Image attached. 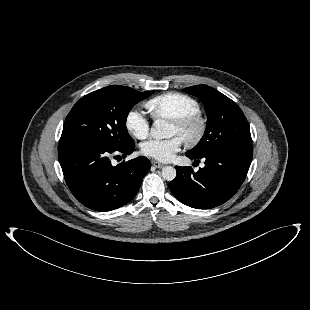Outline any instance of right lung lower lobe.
I'll return each instance as SVG.
<instances>
[{"instance_id":"98d812e1","label":"right lung lower lobe","mask_w":310,"mask_h":310,"mask_svg":"<svg viewBox=\"0 0 310 310\" xmlns=\"http://www.w3.org/2000/svg\"><path fill=\"white\" fill-rule=\"evenodd\" d=\"M134 142L122 148L94 141L61 142L58 158L65 181L84 206L96 211L119 208L134 198L151 164L146 157L113 166L110 156L130 155Z\"/></svg>"}]
</instances>
